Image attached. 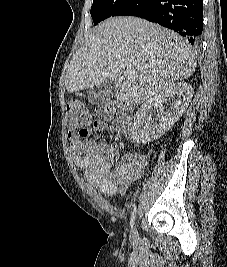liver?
I'll list each match as a JSON object with an SVG mask.
<instances>
[{"mask_svg":"<svg viewBox=\"0 0 227 267\" xmlns=\"http://www.w3.org/2000/svg\"><path fill=\"white\" fill-rule=\"evenodd\" d=\"M196 50L177 33L136 17H114L97 25L76 52L65 84L69 93L116 81L117 101L138 105L190 77ZM135 72L136 78L124 75Z\"/></svg>","mask_w":227,"mask_h":267,"instance_id":"liver-1","label":"liver"}]
</instances>
